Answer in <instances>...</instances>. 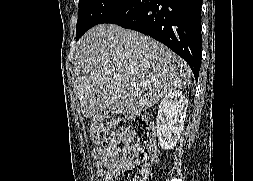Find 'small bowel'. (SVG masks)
<instances>
[{"label": "small bowel", "instance_id": "1", "mask_svg": "<svg viewBox=\"0 0 253 181\" xmlns=\"http://www.w3.org/2000/svg\"><path fill=\"white\" fill-rule=\"evenodd\" d=\"M92 156L95 160V168L98 175L104 177L105 181H107V177L114 173L121 163L118 150L115 147L96 148Z\"/></svg>", "mask_w": 253, "mask_h": 181}]
</instances>
